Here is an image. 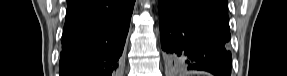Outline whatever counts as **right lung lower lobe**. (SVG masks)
I'll list each match as a JSON object with an SVG mask.
<instances>
[{
    "label": "right lung lower lobe",
    "instance_id": "obj_1",
    "mask_svg": "<svg viewBox=\"0 0 287 76\" xmlns=\"http://www.w3.org/2000/svg\"><path fill=\"white\" fill-rule=\"evenodd\" d=\"M135 0H71L60 76H112L119 66Z\"/></svg>",
    "mask_w": 287,
    "mask_h": 76
}]
</instances>
